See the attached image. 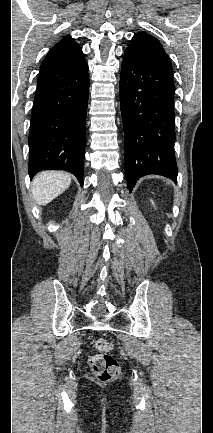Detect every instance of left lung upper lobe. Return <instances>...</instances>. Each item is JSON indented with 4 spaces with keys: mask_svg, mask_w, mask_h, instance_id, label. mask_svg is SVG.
<instances>
[{
    "mask_svg": "<svg viewBox=\"0 0 213 433\" xmlns=\"http://www.w3.org/2000/svg\"><path fill=\"white\" fill-rule=\"evenodd\" d=\"M128 48L172 70V64L168 55L164 51L161 43L153 36L145 32H138L132 38V43Z\"/></svg>",
    "mask_w": 213,
    "mask_h": 433,
    "instance_id": "obj_1",
    "label": "left lung upper lobe"
}]
</instances>
